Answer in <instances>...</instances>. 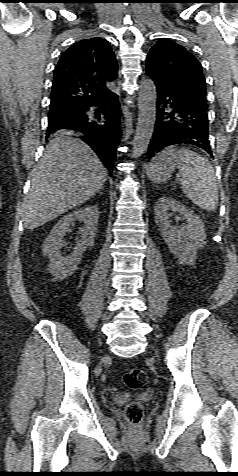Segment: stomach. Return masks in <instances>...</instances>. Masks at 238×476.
I'll use <instances>...</instances> for the list:
<instances>
[{
  "label": "stomach",
  "mask_w": 238,
  "mask_h": 476,
  "mask_svg": "<svg viewBox=\"0 0 238 476\" xmlns=\"http://www.w3.org/2000/svg\"><path fill=\"white\" fill-rule=\"evenodd\" d=\"M179 162L176 150L172 147L166 148L149 163L147 176L155 183L166 182Z\"/></svg>",
  "instance_id": "1"
}]
</instances>
